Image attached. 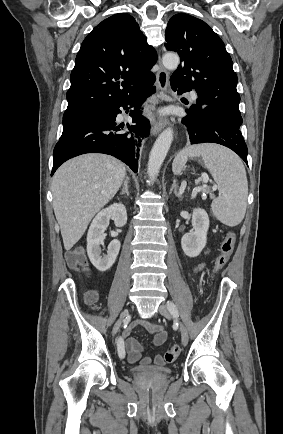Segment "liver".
<instances>
[{"label": "liver", "instance_id": "1", "mask_svg": "<svg viewBox=\"0 0 283 434\" xmlns=\"http://www.w3.org/2000/svg\"><path fill=\"white\" fill-rule=\"evenodd\" d=\"M125 175L121 161L99 153L80 155L59 167L51 190L67 251L80 240L94 215L115 196Z\"/></svg>", "mask_w": 283, "mask_h": 434}]
</instances>
